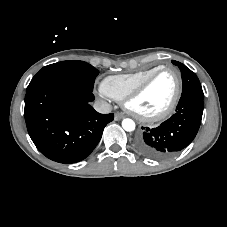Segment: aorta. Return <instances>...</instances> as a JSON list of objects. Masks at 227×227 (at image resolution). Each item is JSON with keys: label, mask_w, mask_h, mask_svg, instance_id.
Masks as SVG:
<instances>
[{"label": "aorta", "mask_w": 227, "mask_h": 227, "mask_svg": "<svg viewBox=\"0 0 227 227\" xmlns=\"http://www.w3.org/2000/svg\"><path fill=\"white\" fill-rule=\"evenodd\" d=\"M122 127L127 132L134 131L135 130V122L132 119L126 118L122 121Z\"/></svg>", "instance_id": "aorta-1"}]
</instances>
